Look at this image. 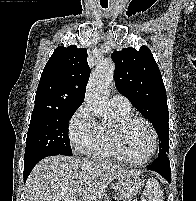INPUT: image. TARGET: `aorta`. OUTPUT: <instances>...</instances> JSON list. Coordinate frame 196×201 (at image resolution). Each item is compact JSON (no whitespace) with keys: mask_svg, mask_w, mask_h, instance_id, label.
<instances>
[{"mask_svg":"<svg viewBox=\"0 0 196 201\" xmlns=\"http://www.w3.org/2000/svg\"><path fill=\"white\" fill-rule=\"evenodd\" d=\"M114 69L115 65L111 59L102 60L92 73L86 88V103L95 116L104 120L113 114L109 94L114 80Z\"/></svg>","mask_w":196,"mask_h":201,"instance_id":"762f6f07","label":"aorta"}]
</instances>
